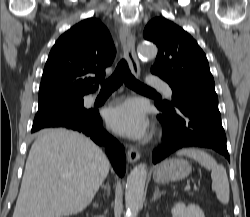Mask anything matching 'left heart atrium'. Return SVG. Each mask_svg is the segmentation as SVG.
Returning a JSON list of instances; mask_svg holds the SVG:
<instances>
[{
    "instance_id": "obj_1",
    "label": "left heart atrium",
    "mask_w": 250,
    "mask_h": 217,
    "mask_svg": "<svg viewBox=\"0 0 250 217\" xmlns=\"http://www.w3.org/2000/svg\"><path fill=\"white\" fill-rule=\"evenodd\" d=\"M109 127L131 138H143L148 131V121L143 108L133 100L126 101L106 113Z\"/></svg>"
}]
</instances>
